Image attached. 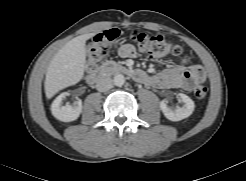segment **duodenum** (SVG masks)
<instances>
[{
    "label": "duodenum",
    "mask_w": 246,
    "mask_h": 181,
    "mask_svg": "<svg viewBox=\"0 0 246 181\" xmlns=\"http://www.w3.org/2000/svg\"><path fill=\"white\" fill-rule=\"evenodd\" d=\"M116 71L129 77L136 81H145L147 74L143 71L132 69L122 65H107L101 69L95 70L88 75L87 81L90 85L98 86L105 82L106 75L109 72Z\"/></svg>",
    "instance_id": "obj_1"
}]
</instances>
